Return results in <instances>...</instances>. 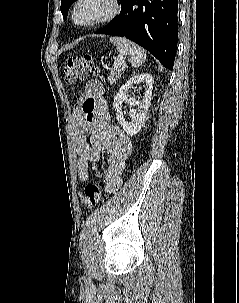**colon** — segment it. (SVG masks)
I'll use <instances>...</instances> for the list:
<instances>
[{"mask_svg": "<svg viewBox=\"0 0 239 303\" xmlns=\"http://www.w3.org/2000/svg\"><path fill=\"white\" fill-rule=\"evenodd\" d=\"M97 72V67L90 55L69 58L64 67L65 82L69 85L82 82L91 73ZM92 169L98 173L96 161H91ZM102 198V190L96 183H91L80 193V199L87 208L96 206Z\"/></svg>", "mask_w": 239, "mask_h": 303, "instance_id": "obj_1", "label": "colon"}]
</instances>
